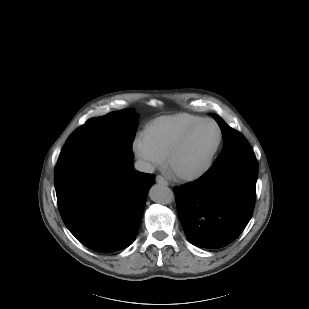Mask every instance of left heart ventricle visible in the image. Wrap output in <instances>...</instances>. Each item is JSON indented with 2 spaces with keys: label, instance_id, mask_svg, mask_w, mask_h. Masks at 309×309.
Here are the masks:
<instances>
[{
  "label": "left heart ventricle",
  "instance_id": "b2bd125f",
  "mask_svg": "<svg viewBox=\"0 0 309 309\" xmlns=\"http://www.w3.org/2000/svg\"><path fill=\"white\" fill-rule=\"evenodd\" d=\"M218 129L212 123L197 128L172 161L175 172L190 173L201 169L208 161L217 141Z\"/></svg>",
  "mask_w": 309,
  "mask_h": 309
}]
</instances>
